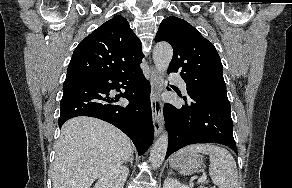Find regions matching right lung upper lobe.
I'll return each mask as SVG.
<instances>
[{
	"instance_id": "cb5924a9",
	"label": "right lung upper lobe",
	"mask_w": 292,
	"mask_h": 188,
	"mask_svg": "<svg viewBox=\"0 0 292 188\" xmlns=\"http://www.w3.org/2000/svg\"><path fill=\"white\" fill-rule=\"evenodd\" d=\"M142 46L127 20L115 16L84 38L73 52L68 76L124 74L140 68Z\"/></svg>"
}]
</instances>
